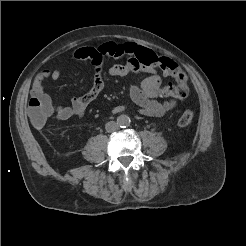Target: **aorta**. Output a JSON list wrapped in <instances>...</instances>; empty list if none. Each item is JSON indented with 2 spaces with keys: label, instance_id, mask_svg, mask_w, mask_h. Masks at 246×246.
Instances as JSON below:
<instances>
[{
  "label": "aorta",
  "instance_id": "762f6f07",
  "mask_svg": "<svg viewBox=\"0 0 246 246\" xmlns=\"http://www.w3.org/2000/svg\"><path fill=\"white\" fill-rule=\"evenodd\" d=\"M118 125L126 127L130 124V118L127 115H120L117 119Z\"/></svg>",
  "mask_w": 246,
  "mask_h": 246
}]
</instances>
